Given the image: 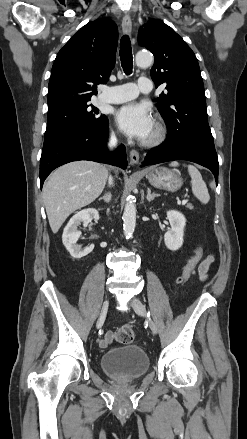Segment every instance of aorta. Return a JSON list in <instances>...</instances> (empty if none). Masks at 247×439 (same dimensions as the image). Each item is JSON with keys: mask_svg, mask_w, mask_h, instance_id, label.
Instances as JSON below:
<instances>
[{"mask_svg": "<svg viewBox=\"0 0 247 439\" xmlns=\"http://www.w3.org/2000/svg\"><path fill=\"white\" fill-rule=\"evenodd\" d=\"M153 55L149 52H138L135 57L138 67H149L153 63ZM136 225V206L132 196H128L123 213V231L126 238L131 237Z\"/></svg>", "mask_w": 247, "mask_h": 439, "instance_id": "obj_1", "label": "aorta"}]
</instances>
